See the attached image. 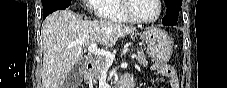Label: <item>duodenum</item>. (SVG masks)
Segmentation results:
<instances>
[{
	"label": "duodenum",
	"mask_w": 227,
	"mask_h": 88,
	"mask_svg": "<svg viewBox=\"0 0 227 88\" xmlns=\"http://www.w3.org/2000/svg\"><path fill=\"white\" fill-rule=\"evenodd\" d=\"M94 64H95V59H94V58H90V59L86 60V61L83 63V69H84V70L89 69V68H91ZM130 83H131V79H127V80L121 79V80L118 81V82L116 83V85H114L112 88H121V87H123L124 85H129Z\"/></svg>",
	"instance_id": "1"
}]
</instances>
